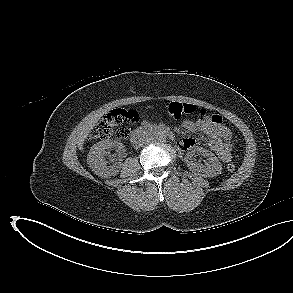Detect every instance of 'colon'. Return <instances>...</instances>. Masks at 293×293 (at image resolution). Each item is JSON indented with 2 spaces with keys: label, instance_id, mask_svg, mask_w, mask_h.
<instances>
[{
  "label": "colon",
  "instance_id": "colon-1",
  "mask_svg": "<svg viewBox=\"0 0 293 293\" xmlns=\"http://www.w3.org/2000/svg\"><path fill=\"white\" fill-rule=\"evenodd\" d=\"M169 116L178 119L184 115H190L196 112V107L188 103L171 102L167 106ZM201 119L212 123L220 124L222 119L218 114L208 113L205 110L199 112ZM138 121V114L134 110L114 109L105 115L91 130L90 135L96 139H108L115 137L117 139H126L132 126ZM236 165L229 163L227 169L234 171Z\"/></svg>",
  "mask_w": 293,
  "mask_h": 293
}]
</instances>
